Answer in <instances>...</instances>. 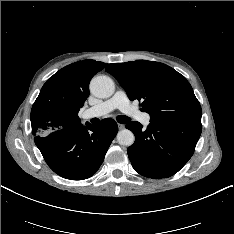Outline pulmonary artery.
Returning <instances> with one entry per match:
<instances>
[{
    "mask_svg": "<svg viewBox=\"0 0 234 234\" xmlns=\"http://www.w3.org/2000/svg\"><path fill=\"white\" fill-rule=\"evenodd\" d=\"M115 109H119L126 115L136 118L143 125H148L150 123V115L140 112L133 106L123 90L116 91L111 98L87 109L84 114L86 118L99 117L106 115Z\"/></svg>",
    "mask_w": 234,
    "mask_h": 234,
    "instance_id": "1",
    "label": "pulmonary artery"
}]
</instances>
